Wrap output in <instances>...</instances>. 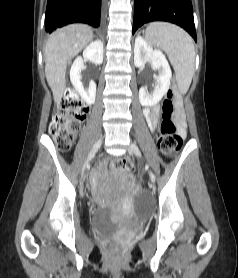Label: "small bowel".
Returning <instances> with one entry per match:
<instances>
[{
    "label": "small bowel",
    "mask_w": 238,
    "mask_h": 278,
    "mask_svg": "<svg viewBox=\"0 0 238 278\" xmlns=\"http://www.w3.org/2000/svg\"><path fill=\"white\" fill-rule=\"evenodd\" d=\"M144 115L147 120V123L150 127L151 130H154L158 123H159V118H160V109L158 106H154L153 108H145L144 109ZM177 121L179 124V133L180 135L184 136L185 135V126L183 123V117L180 109L178 110L177 114Z\"/></svg>",
    "instance_id": "c3829d8e"
}]
</instances>
